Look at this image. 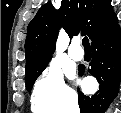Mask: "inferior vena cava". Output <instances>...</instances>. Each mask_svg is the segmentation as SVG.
Wrapping results in <instances>:
<instances>
[{
	"mask_svg": "<svg viewBox=\"0 0 121 113\" xmlns=\"http://www.w3.org/2000/svg\"><path fill=\"white\" fill-rule=\"evenodd\" d=\"M69 113H80L78 103H73L69 107Z\"/></svg>",
	"mask_w": 121,
	"mask_h": 113,
	"instance_id": "1",
	"label": "inferior vena cava"
}]
</instances>
